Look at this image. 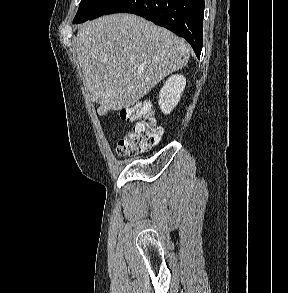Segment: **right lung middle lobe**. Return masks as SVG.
Here are the masks:
<instances>
[{"label": "right lung middle lobe", "mask_w": 288, "mask_h": 293, "mask_svg": "<svg viewBox=\"0 0 288 293\" xmlns=\"http://www.w3.org/2000/svg\"><path fill=\"white\" fill-rule=\"evenodd\" d=\"M121 0H81L74 23H82L106 14Z\"/></svg>", "instance_id": "right-lung-middle-lobe-1"}]
</instances>
